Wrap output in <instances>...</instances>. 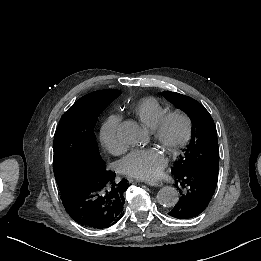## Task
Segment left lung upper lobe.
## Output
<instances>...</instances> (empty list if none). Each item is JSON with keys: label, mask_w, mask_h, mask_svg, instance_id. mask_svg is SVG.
<instances>
[{"label": "left lung upper lobe", "mask_w": 261, "mask_h": 261, "mask_svg": "<svg viewBox=\"0 0 261 261\" xmlns=\"http://www.w3.org/2000/svg\"><path fill=\"white\" fill-rule=\"evenodd\" d=\"M176 108L186 112L192 121L191 141L183 157L171 170L182 173L196 169L203 173L218 175L219 147L214 121L203 105L191 97L175 93L162 92Z\"/></svg>", "instance_id": "left-lung-upper-lobe-1"}]
</instances>
